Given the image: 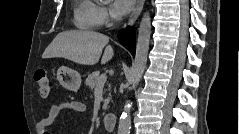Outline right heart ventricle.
<instances>
[{
  "label": "right heart ventricle",
  "instance_id": "1",
  "mask_svg": "<svg viewBox=\"0 0 239 134\" xmlns=\"http://www.w3.org/2000/svg\"><path fill=\"white\" fill-rule=\"evenodd\" d=\"M95 4L90 0H78L74 5V24L80 28L89 30L96 26Z\"/></svg>",
  "mask_w": 239,
  "mask_h": 134
}]
</instances>
